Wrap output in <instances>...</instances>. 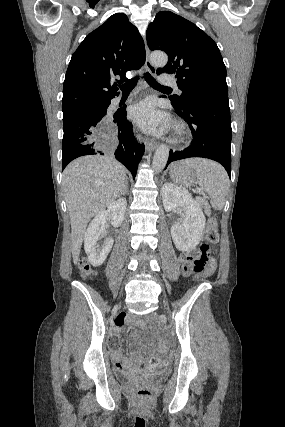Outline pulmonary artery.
Instances as JSON below:
<instances>
[{"instance_id": "1", "label": "pulmonary artery", "mask_w": 285, "mask_h": 427, "mask_svg": "<svg viewBox=\"0 0 285 427\" xmlns=\"http://www.w3.org/2000/svg\"><path fill=\"white\" fill-rule=\"evenodd\" d=\"M160 81L162 84L167 86L176 85V80L168 74H162L160 76Z\"/></svg>"}]
</instances>
